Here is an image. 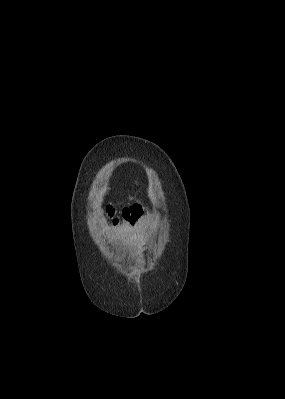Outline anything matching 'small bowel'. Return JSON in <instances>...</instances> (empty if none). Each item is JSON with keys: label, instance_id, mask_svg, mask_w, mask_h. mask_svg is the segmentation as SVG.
Segmentation results:
<instances>
[{"label": "small bowel", "instance_id": "c3829d8e", "mask_svg": "<svg viewBox=\"0 0 285 399\" xmlns=\"http://www.w3.org/2000/svg\"><path fill=\"white\" fill-rule=\"evenodd\" d=\"M142 212V209L138 206L137 208H127L124 209L122 214L125 218H127L129 220V218H131L134 214L136 215H140Z\"/></svg>", "mask_w": 285, "mask_h": 399}]
</instances>
